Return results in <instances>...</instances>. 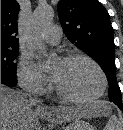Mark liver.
I'll use <instances>...</instances> for the list:
<instances>
[{
    "mask_svg": "<svg viewBox=\"0 0 123 130\" xmlns=\"http://www.w3.org/2000/svg\"><path fill=\"white\" fill-rule=\"evenodd\" d=\"M98 107L31 105L23 93L1 84V130H39V119L62 124L95 116Z\"/></svg>",
    "mask_w": 123,
    "mask_h": 130,
    "instance_id": "liver-1",
    "label": "liver"
}]
</instances>
